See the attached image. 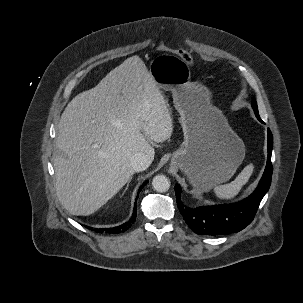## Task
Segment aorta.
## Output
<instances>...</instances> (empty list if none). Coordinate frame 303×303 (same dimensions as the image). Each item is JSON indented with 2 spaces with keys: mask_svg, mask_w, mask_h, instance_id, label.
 <instances>
[{
  "mask_svg": "<svg viewBox=\"0 0 303 303\" xmlns=\"http://www.w3.org/2000/svg\"><path fill=\"white\" fill-rule=\"evenodd\" d=\"M152 187L157 192H166L170 188V181L164 175H157L152 180Z\"/></svg>",
  "mask_w": 303,
  "mask_h": 303,
  "instance_id": "762f6f07",
  "label": "aorta"
}]
</instances>
